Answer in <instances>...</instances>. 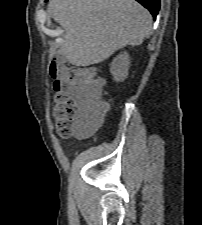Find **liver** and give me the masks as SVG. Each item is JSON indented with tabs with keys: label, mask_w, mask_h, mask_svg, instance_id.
I'll list each match as a JSON object with an SVG mask.
<instances>
[{
	"label": "liver",
	"mask_w": 202,
	"mask_h": 225,
	"mask_svg": "<svg viewBox=\"0 0 202 225\" xmlns=\"http://www.w3.org/2000/svg\"><path fill=\"white\" fill-rule=\"evenodd\" d=\"M48 11L65 31L60 52L75 66L97 64L118 49L142 44L152 24L135 0H50Z\"/></svg>",
	"instance_id": "1"
}]
</instances>
